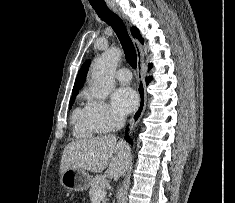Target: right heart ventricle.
<instances>
[{
	"label": "right heart ventricle",
	"instance_id": "e07e8e85",
	"mask_svg": "<svg viewBox=\"0 0 235 203\" xmlns=\"http://www.w3.org/2000/svg\"><path fill=\"white\" fill-rule=\"evenodd\" d=\"M86 95L84 91L80 94V97L84 99ZM72 122L75 134L80 137H91L99 132L92 121L87 105L77 107L74 110Z\"/></svg>",
	"mask_w": 235,
	"mask_h": 203
}]
</instances>
